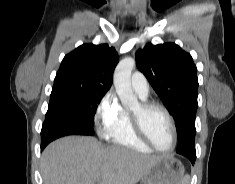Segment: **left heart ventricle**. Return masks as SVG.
Returning <instances> with one entry per match:
<instances>
[{
	"mask_svg": "<svg viewBox=\"0 0 235 184\" xmlns=\"http://www.w3.org/2000/svg\"><path fill=\"white\" fill-rule=\"evenodd\" d=\"M132 113L140 112V104ZM143 122L154 144L161 150H168L172 146V129L166 114L160 109H152L143 115Z\"/></svg>",
	"mask_w": 235,
	"mask_h": 184,
	"instance_id": "b2bd125f",
	"label": "left heart ventricle"
}]
</instances>
